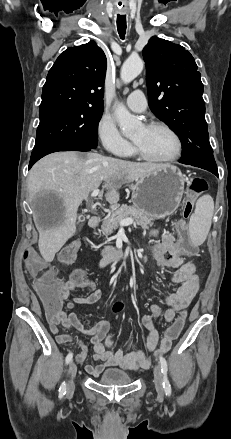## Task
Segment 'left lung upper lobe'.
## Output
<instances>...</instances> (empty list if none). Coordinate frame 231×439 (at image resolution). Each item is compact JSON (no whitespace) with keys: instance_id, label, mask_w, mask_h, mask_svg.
<instances>
[{"instance_id":"obj_1","label":"left lung upper lobe","mask_w":231,"mask_h":439,"mask_svg":"<svg viewBox=\"0 0 231 439\" xmlns=\"http://www.w3.org/2000/svg\"><path fill=\"white\" fill-rule=\"evenodd\" d=\"M151 111L182 141V163L217 167L209 142L203 84L192 55L170 41L150 38L143 49Z\"/></svg>"}]
</instances>
